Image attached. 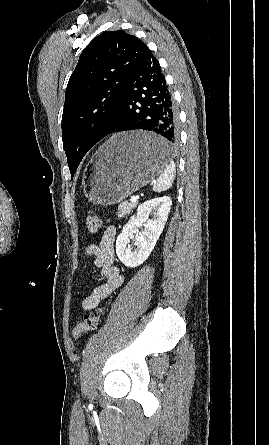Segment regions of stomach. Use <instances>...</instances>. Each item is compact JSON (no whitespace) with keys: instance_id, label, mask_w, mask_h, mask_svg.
Listing matches in <instances>:
<instances>
[{"instance_id":"obj_1","label":"stomach","mask_w":269,"mask_h":445,"mask_svg":"<svg viewBox=\"0 0 269 445\" xmlns=\"http://www.w3.org/2000/svg\"><path fill=\"white\" fill-rule=\"evenodd\" d=\"M169 161L162 138L145 131L118 133L95 152L83 177L86 197L100 206L119 203L154 180Z\"/></svg>"}]
</instances>
